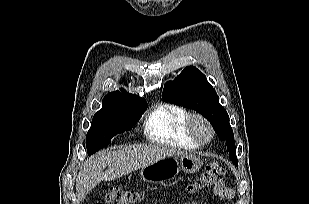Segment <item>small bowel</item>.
<instances>
[{
	"instance_id": "c3829d8e",
	"label": "small bowel",
	"mask_w": 309,
	"mask_h": 204,
	"mask_svg": "<svg viewBox=\"0 0 309 204\" xmlns=\"http://www.w3.org/2000/svg\"><path fill=\"white\" fill-rule=\"evenodd\" d=\"M214 193H215V195H217L219 197H223V198H227V199H230V198L233 197V191L230 188H228L223 181L218 183L214 187Z\"/></svg>"
}]
</instances>
